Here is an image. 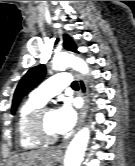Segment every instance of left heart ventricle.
Returning a JSON list of instances; mask_svg holds the SVG:
<instances>
[{"label":"left heart ventricle","instance_id":"1","mask_svg":"<svg viewBox=\"0 0 135 166\" xmlns=\"http://www.w3.org/2000/svg\"><path fill=\"white\" fill-rule=\"evenodd\" d=\"M53 116L54 112L49 111L43 117V128L45 132L50 136L57 135V133L54 130Z\"/></svg>","mask_w":135,"mask_h":166}]
</instances>
